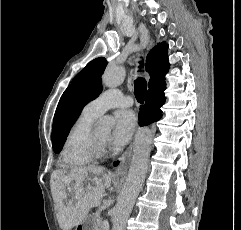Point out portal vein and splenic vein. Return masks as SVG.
<instances>
[{
  "label": "portal vein and splenic vein",
  "instance_id": "1",
  "mask_svg": "<svg viewBox=\"0 0 241 230\" xmlns=\"http://www.w3.org/2000/svg\"><path fill=\"white\" fill-rule=\"evenodd\" d=\"M103 227H104V228L109 227V223H108L107 221H104V222H103Z\"/></svg>",
  "mask_w": 241,
  "mask_h": 230
}]
</instances>
